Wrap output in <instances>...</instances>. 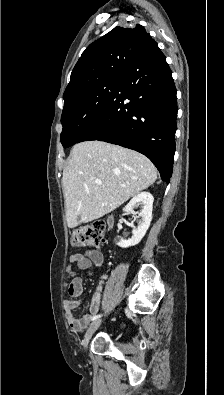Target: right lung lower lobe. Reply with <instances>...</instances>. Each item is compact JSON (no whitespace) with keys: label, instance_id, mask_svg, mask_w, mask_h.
Segmentation results:
<instances>
[{"label":"right lung lower lobe","instance_id":"1","mask_svg":"<svg viewBox=\"0 0 224 395\" xmlns=\"http://www.w3.org/2000/svg\"><path fill=\"white\" fill-rule=\"evenodd\" d=\"M176 88L166 57L149 38L121 77L107 106L79 142L105 141L136 150L169 183L175 152Z\"/></svg>","mask_w":224,"mask_h":395}]
</instances>
